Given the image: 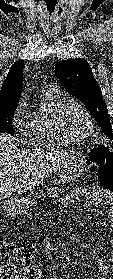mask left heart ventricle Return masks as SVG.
Listing matches in <instances>:
<instances>
[{
	"instance_id": "1",
	"label": "left heart ventricle",
	"mask_w": 113,
	"mask_h": 279,
	"mask_svg": "<svg viewBox=\"0 0 113 279\" xmlns=\"http://www.w3.org/2000/svg\"><path fill=\"white\" fill-rule=\"evenodd\" d=\"M60 123L65 133L75 138L85 136L89 130V124L84 113L73 104L66 107Z\"/></svg>"
}]
</instances>
